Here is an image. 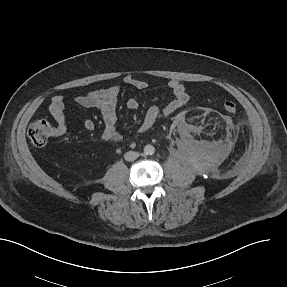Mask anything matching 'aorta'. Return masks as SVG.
I'll return each instance as SVG.
<instances>
[{
    "label": "aorta",
    "instance_id": "obj_1",
    "mask_svg": "<svg viewBox=\"0 0 287 287\" xmlns=\"http://www.w3.org/2000/svg\"><path fill=\"white\" fill-rule=\"evenodd\" d=\"M154 151H155V148L153 145L148 144L144 147V153L146 155H152L154 153Z\"/></svg>",
    "mask_w": 287,
    "mask_h": 287
}]
</instances>
